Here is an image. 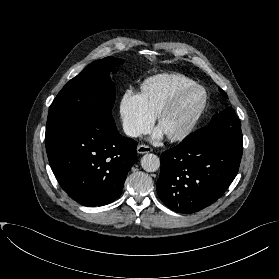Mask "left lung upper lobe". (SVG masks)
I'll use <instances>...</instances> for the list:
<instances>
[{"label": "left lung upper lobe", "instance_id": "obj_1", "mask_svg": "<svg viewBox=\"0 0 279 279\" xmlns=\"http://www.w3.org/2000/svg\"><path fill=\"white\" fill-rule=\"evenodd\" d=\"M219 90L223 96L227 97L222 89ZM206 140H220L239 146L243 145L241 122L232 107H228L219 114L214 115L207 126L195 131L184 139V141L191 142Z\"/></svg>", "mask_w": 279, "mask_h": 279}]
</instances>
